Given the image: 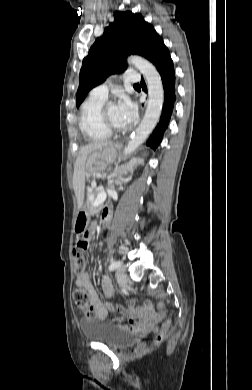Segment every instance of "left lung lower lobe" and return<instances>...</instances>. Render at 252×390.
<instances>
[{"mask_svg":"<svg viewBox=\"0 0 252 390\" xmlns=\"http://www.w3.org/2000/svg\"><path fill=\"white\" fill-rule=\"evenodd\" d=\"M149 61L157 68L164 88V104L160 121L147 142V145L156 149L162 140L164 131L168 127L176 100L174 65L170 57V52L163 40L155 46ZM141 85L146 92L147 88L143 80L141 81Z\"/></svg>","mask_w":252,"mask_h":390,"instance_id":"0a47b994","label":"left lung lower lobe"}]
</instances>
